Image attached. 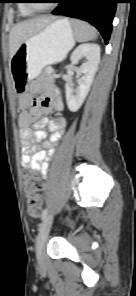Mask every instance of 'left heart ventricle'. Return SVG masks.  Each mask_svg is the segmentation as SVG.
Returning <instances> with one entry per match:
<instances>
[{"label":"left heart ventricle","mask_w":136,"mask_h":296,"mask_svg":"<svg viewBox=\"0 0 136 296\" xmlns=\"http://www.w3.org/2000/svg\"><path fill=\"white\" fill-rule=\"evenodd\" d=\"M40 1L41 0H38V3H37L38 5H46L47 4V3H41Z\"/></svg>","instance_id":"left-heart-ventricle-1"}]
</instances>
